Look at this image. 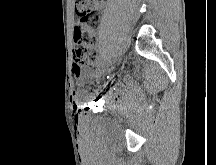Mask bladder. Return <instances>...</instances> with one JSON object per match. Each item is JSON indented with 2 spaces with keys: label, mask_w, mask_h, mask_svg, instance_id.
Instances as JSON below:
<instances>
[{
  "label": "bladder",
  "mask_w": 216,
  "mask_h": 165,
  "mask_svg": "<svg viewBox=\"0 0 216 165\" xmlns=\"http://www.w3.org/2000/svg\"><path fill=\"white\" fill-rule=\"evenodd\" d=\"M97 86V85H95ZM102 94H113V89H102ZM90 95H94V89L92 90V92L90 93Z\"/></svg>",
  "instance_id": "31cf9c89"
}]
</instances>
